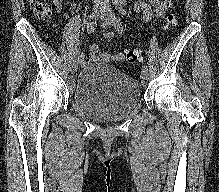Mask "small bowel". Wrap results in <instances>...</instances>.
I'll list each match as a JSON object with an SVG mask.
<instances>
[{
  "instance_id": "small-bowel-1",
  "label": "small bowel",
  "mask_w": 219,
  "mask_h": 192,
  "mask_svg": "<svg viewBox=\"0 0 219 192\" xmlns=\"http://www.w3.org/2000/svg\"><path fill=\"white\" fill-rule=\"evenodd\" d=\"M172 2L171 0H149V2L144 0H136L133 10L135 12H140L143 15V19L145 21H150L155 18H162L165 16L166 11L171 7ZM62 7L61 4H56V10L59 12L61 11ZM113 35L112 32H107L106 36L111 37ZM103 52L100 50L98 45L91 44L90 45V55L89 61L90 62H102L101 55ZM122 55H117L115 58L117 60H121Z\"/></svg>"
}]
</instances>
